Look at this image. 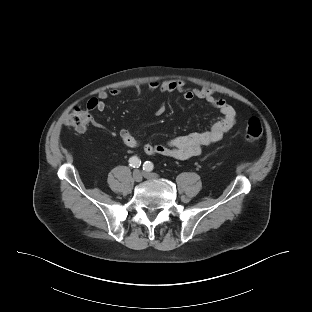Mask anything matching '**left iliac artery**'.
<instances>
[{"label": "left iliac artery", "mask_w": 312, "mask_h": 312, "mask_svg": "<svg viewBox=\"0 0 312 312\" xmlns=\"http://www.w3.org/2000/svg\"><path fill=\"white\" fill-rule=\"evenodd\" d=\"M153 163L150 162V161H146L144 164H143V170L145 171H152L153 170Z\"/></svg>", "instance_id": "1"}]
</instances>
